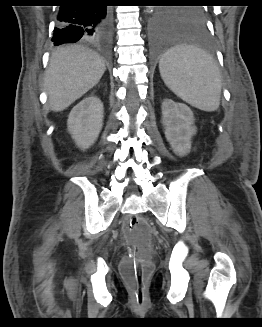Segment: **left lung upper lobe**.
I'll return each mask as SVG.
<instances>
[{
    "mask_svg": "<svg viewBox=\"0 0 262 327\" xmlns=\"http://www.w3.org/2000/svg\"><path fill=\"white\" fill-rule=\"evenodd\" d=\"M170 17L178 23L200 25L204 23V12L200 7H187L167 11Z\"/></svg>",
    "mask_w": 262,
    "mask_h": 327,
    "instance_id": "obj_1",
    "label": "left lung upper lobe"
}]
</instances>
